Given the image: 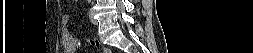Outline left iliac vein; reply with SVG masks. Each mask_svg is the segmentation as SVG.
Segmentation results:
<instances>
[{
	"label": "left iliac vein",
	"instance_id": "4c4485c4",
	"mask_svg": "<svg viewBox=\"0 0 253 53\" xmlns=\"http://www.w3.org/2000/svg\"><path fill=\"white\" fill-rule=\"evenodd\" d=\"M89 19H90L91 23L94 25H96L98 23L94 17V11L92 9H90V12H89Z\"/></svg>",
	"mask_w": 253,
	"mask_h": 53
}]
</instances>
